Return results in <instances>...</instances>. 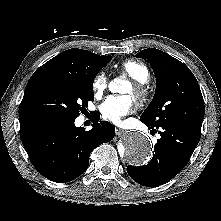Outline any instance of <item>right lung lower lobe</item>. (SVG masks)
I'll return each mask as SVG.
<instances>
[{
	"label": "right lung lower lobe",
	"mask_w": 221,
	"mask_h": 221,
	"mask_svg": "<svg viewBox=\"0 0 221 221\" xmlns=\"http://www.w3.org/2000/svg\"><path fill=\"white\" fill-rule=\"evenodd\" d=\"M20 137L36 170L47 179L65 183L80 176L89 166V154L109 142L115 127L96 120L90 131L74 125L75 119L51 114H22Z\"/></svg>",
	"instance_id": "right-lung-lower-lobe-1"
}]
</instances>
